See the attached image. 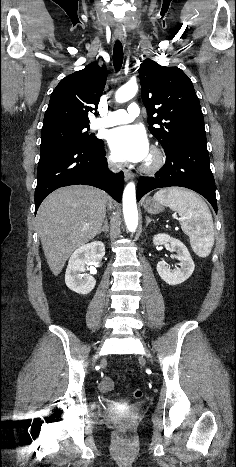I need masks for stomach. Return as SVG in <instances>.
Masks as SVG:
<instances>
[{
  "instance_id": "1",
  "label": "stomach",
  "mask_w": 236,
  "mask_h": 467,
  "mask_svg": "<svg viewBox=\"0 0 236 467\" xmlns=\"http://www.w3.org/2000/svg\"><path fill=\"white\" fill-rule=\"evenodd\" d=\"M144 209L149 214H159L164 210V207L163 204L149 197L144 201Z\"/></svg>"
}]
</instances>
